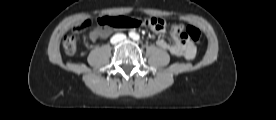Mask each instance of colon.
Segmentation results:
<instances>
[{"mask_svg":"<svg viewBox=\"0 0 276 120\" xmlns=\"http://www.w3.org/2000/svg\"><path fill=\"white\" fill-rule=\"evenodd\" d=\"M90 22L85 21L76 27V31H81L89 26ZM98 24L105 28L121 29L126 27H136L140 24L148 25L159 30L165 26L164 20L160 18L134 19L126 16H104L98 20ZM174 35L179 36L184 41L198 42L200 31L194 26H183L174 24L171 28ZM63 48L68 55H74L77 50V38L74 35H67L63 40Z\"/></svg>","mask_w":276,"mask_h":120,"instance_id":"colon-1","label":"colon"}]
</instances>
